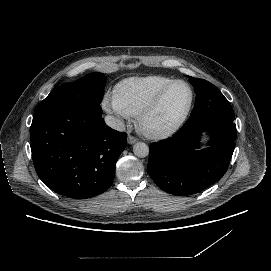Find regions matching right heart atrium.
I'll return each mask as SVG.
<instances>
[{
	"label": "right heart atrium",
	"mask_w": 271,
	"mask_h": 271,
	"mask_svg": "<svg viewBox=\"0 0 271 271\" xmlns=\"http://www.w3.org/2000/svg\"><path fill=\"white\" fill-rule=\"evenodd\" d=\"M106 104L109 110H111L118 118L126 119L128 117V114L121 106L117 96L114 93L107 94Z\"/></svg>",
	"instance_id": "1"
}]
</instances>
